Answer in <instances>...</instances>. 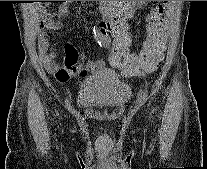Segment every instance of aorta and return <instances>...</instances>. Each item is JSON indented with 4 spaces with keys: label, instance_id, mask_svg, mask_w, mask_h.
I'll use <instances>...</instances> for the list:
<instances>
[{
    "label": "aorta",
    "instance_id": "aorta-1",
    "mask_svg": "<svg viewBox=\"0 0 207 169\" xmlns=\"http://www.w3.org/2000/svg\"><path fill=\"white\" fill-rule=\"evenodd\" d=\"M126 2H127V4H126ZM136 2L137 1H112V10H124L122 8L129 6L130 4L136 3ZM132 6H134V4H132Z\"/></svg>",
    "mask_w": 207,
    "mask_h": 169
}]
</instances>
